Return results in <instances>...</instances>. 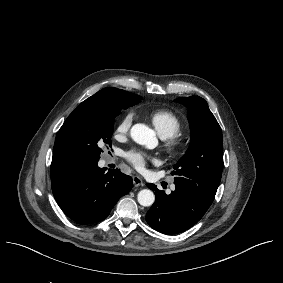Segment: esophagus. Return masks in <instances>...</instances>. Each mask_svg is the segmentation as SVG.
Masks as SVG:
<instances>
[{
  "label": "esophagus",
  "instance_id": "esophagus-1",
  "mask_svg": "<svg viewBox=\"0 0 283 283\" xmlns=\"http://www.w3.org/2000/svg\"><path fill=\"white\" fill-rule=\"evenodd\" d=\"M144 183H143V180L138 177V176H133V185L138 187V186H142Z\"/></svg>",
  "mask_w": 283,
  "mask_h": 283
}]
</instances>
